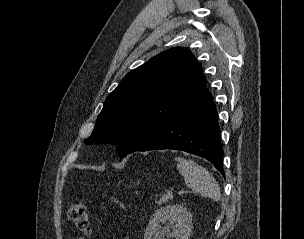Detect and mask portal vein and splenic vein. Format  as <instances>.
Returning <instances> with one entry per match:
<instances>
[{"mask_svg":"<svg viewBox=\"0 0 304 239\" xmlns=\"http://www.w3.org/2000/svg\"><path fill=\"white\" fill-rule=\"evenodd\" d=\"M186 191L185 190H180L179 192H178V194H183V193H185Z\"/></svg>","mask_w":304,"mask_h":239,"instance_id":"18ae733b","label":"portal vein and splenic vein"}]
</instances>
